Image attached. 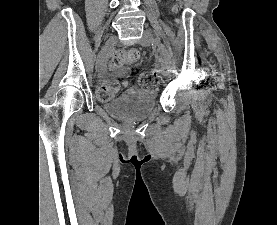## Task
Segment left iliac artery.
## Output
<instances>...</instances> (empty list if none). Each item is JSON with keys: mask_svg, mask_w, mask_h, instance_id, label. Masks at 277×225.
<instances>
[{"mask_svg": "<svg viewBox=\"0 0 277 225\" xmlns=\"http://www.w3.org/2000/svg\"><path fill=\"white\" fill-rule=\"evenodd\" d=\"M158 47V51L160 53L159 63L162 69H167V71H172L169 66L170 63V55L167 51L166 47L158 40L154 43Z\"/></svg>", "mask_w": 277, "mask_h": 225, "instance_id": "left-iliac-artery-1", "label": "left iliac artery"}]
</instances>
